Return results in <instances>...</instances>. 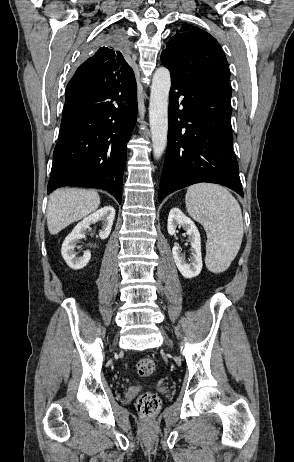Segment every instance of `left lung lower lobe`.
I'll list each match as a JSON object with an SVG mask.
<instances>
[{
    "mask_svg": "<svg viewBox=\"0 0 294 462\" xmlns=\"http://www.w3.org/2000/svg\"><path fill=\"white\" fill-rule=\"evenodd\" d=\"M168 147L159 202L199 182L224 185L243 197L233 154L229 83L184 82L171 78Z\"/></svg>",
    "mask_w": 294,
    "mask_h": 462,
    "instance_id": "1",
    "label": "left lung lower lobe"
}]
</instances>
